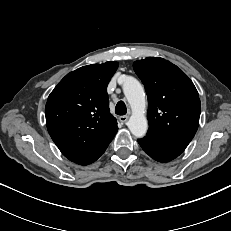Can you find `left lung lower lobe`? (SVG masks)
<instances>
[{"instance_id": "1", "label": "left lung lower lobe", "mask_w": 231, "mask_h": 231, "mask_svg": "<svg viewBox=\"0 0 231 231\" xmlns=\"http://www.w3.org/2000/svg\"><path fill=\"white\" fill-rule=\"evenodd\" d=\"M138 143L150 157L159 162L171 161L183 152L182 150L162 143L149 135H146L142 139H138Z\"/></svg>"}]
</instances>
